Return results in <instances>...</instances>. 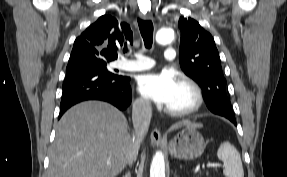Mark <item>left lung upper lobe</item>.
Returning a JSON list of instances; mask_svg holds the SVG:
<instances>
[{"instance_id": "5c2ea615", "label": "left lung upper lobe", "mask_w": 287, "mask_h": 177, "mask_svg": "<svg viewBox=\"0 0 287 177\" xmlns=\"http://www.w3.org/2000/svg\"><path fill=\"white\" fill-rule=\"evenodd\" d=\"M178 27L181 31V69L202 88L208 108L212 105L213 99L218 97L226 100L222 101V106L227 114L233 115L226 94V79L213 37L190 17H180Z\"/></svg>"}]
</instances>
